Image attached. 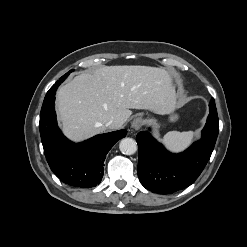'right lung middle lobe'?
<instances>
[{"instance_id": "obj_1", "label": "right lung middle lobe", "mask_w": 247, "mask_h": 247, "mask_svg": "<svg viewBox=\"0 0 247 247\" xmlns=\"http://www.w3.org/2000/svg\"><path fill=\"white\" fill-rule=\"evenodd\" d=\"M73 70H70L68 73H66L65 75H63L59 81H57L52 87L51 89L47 92L45 99H48L50 97V95L52 94V91L54 90V87L59 86L66 78L67 76L70 74V72H72Z\"/></svg>"}]
</instances>
